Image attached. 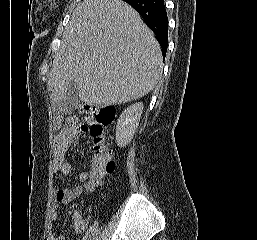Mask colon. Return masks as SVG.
<instances>
[{
    "instance_id": "5ec220e1",
    "label": "colon",
    "mask_w": 257,
    "mask_h": 240,
    "mask_svg": "<svg viewBox=\"0 0 257 240\" xmlns=\"http://www.w3.org/2000/svg\"><path fill=\"white\" fill-rule=\"evenodd\" d=\"M115 111L112 106H98L88 109L86 125L93 138L94 155L89 181L86 184L88 191L98 187L105 176L115 171V162L112 158V151L109 147V138L106 128L113 122ZM82 226V222H80Z\"/></svg>"
}]
</instances>
